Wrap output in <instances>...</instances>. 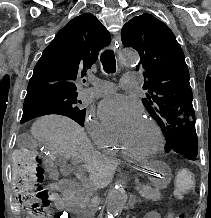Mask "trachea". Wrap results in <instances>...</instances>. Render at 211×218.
<instances>
[{
	"instance_id": "trachea-1",
	"label": "trachea",
	"mask_w": 211,
	"mask_h": 218,
	"mask_svg": "<svg viewBox=\"0 0 211 218\" xmlns=\"http://www.w3.org/2000/svg\"><path fill=\"white\" fill-rule=\"evenodd\" d=\"M103 69L106 73L116 72V60L112 50H105L100 57Z\"/></svg>"
}]
</instances>
